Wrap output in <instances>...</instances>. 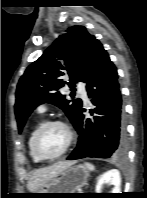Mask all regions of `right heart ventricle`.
<instances>
[{"instance_id":"1","label":"right heart ventricle","mask_w":147,"mask_h":198,"mask_svg":"<svg viewBox=\"0 0 147 198\" xmlns=\"http://www.w3.org/2000/svg\"><path fill=\"white\" fill-rule=\"evenodd\" d=\"M42 121L39 120L37 121L30 129L29 134H28V140H27V146H28V151L29 155L34 163H40L42 160H40L34 153L33 148H32V140L33 136L36 132V130L42 125Z\"/></svg>"}]
</instances>
